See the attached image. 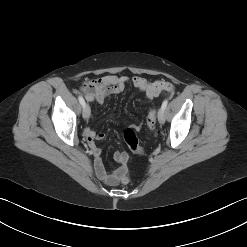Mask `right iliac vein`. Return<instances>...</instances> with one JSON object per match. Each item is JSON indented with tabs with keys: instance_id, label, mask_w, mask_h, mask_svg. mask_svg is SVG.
I'll return each instance as SVG.
<instances>
[{
	"instance_id": "obj_1",
	"label": "right iliac vein",
	"mask_w": 247,
	"mask_h": 247,
	"mask_svg": "<svg viewBox=\"0 0 247 247\" xmlns=\"http://www.w3.org/2000/svg\"><path fill=\"white\" fill-rule=\"evenodd\" d=\"M82 115H83V118H84L85 120H88V119H89V117H90V115H91V110H90L89 105H85V106L83 107Z\"/></svg>"
}]
</instances>
